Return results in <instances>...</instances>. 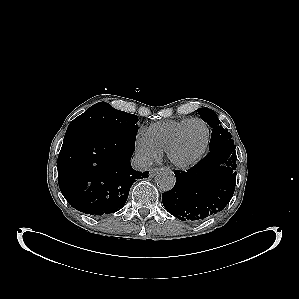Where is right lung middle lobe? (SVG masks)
Wrapping results in <instances>:
<instances>
[{"instance_id": "right-lung-middle-lobe-1", "label": "right lung middle lobe", "mask_w": 299, "mask_h": 299, "mask_svg": "<svg viewBox=\"0 0 299 299\" xmlns=\"http://www.w3.org/2000/svg\"><path fill=\"white\" fill-rule=\"evenodd\" d=\"M138 116L114 109L106 102H99L75 118L68 126L70 132L117 131L136 133Z\"/></svg>"}]
</instances>
